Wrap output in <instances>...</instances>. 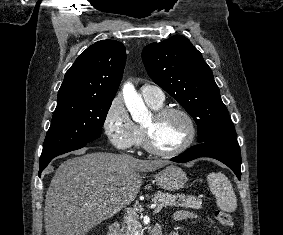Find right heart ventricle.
<instances>
[{
	"label": "right heart ventricle",
	"instance_id": "e07e8e85",
	"mask_svg": "<svg viewBox=\"0 0 283 235\" xmlns=\"http://www.w3.org/2000/svg\"><path fill=\"white\" fill-rule=\"evenodd\" d=\"M146 102L154 110H157L162 107V103H154L151 101H146ZM136 127H137V137L134 144L140 145L142 143V127L141 126H136Z\"/></svg>",
	"mask_w": 283,
	"mask_h": 235
}]
</instances>
